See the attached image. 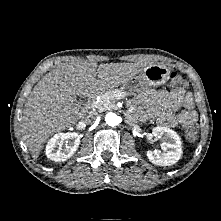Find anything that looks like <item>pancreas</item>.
I'll list each match as a JSON object with an SVG mask.
<instances>
[{
    "instance_id": "obj_1",
    "label": "pancreas",
    "mask_w": 221,
    "mask_h": 221,
    "mask_svg": "<svg viewBox=\"0 0 221 221\" xmlns=\"http://www.w3.org/2000/svg\"><path fill=\"white\" fill-rule=\"evenodd\" d=\"M125 96L126 93L123 90L107 91L100 96V99L95 101L91 111L103 112L112 110L116 107L115 102Z\"/></svg>"
}]
</instances>
